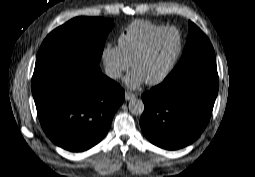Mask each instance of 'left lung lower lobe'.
Segmentation results:
<instances>
[{
	"label": "left lung lower lobe",
	"instance_id": "0a47b994",
	"mask_svg": "<svg viewBox=\"0 0 255 177\" xmlns=\"http://www.w3.org/2000/svg\"><path fill=\"white\" fill-rule=\"evenodd\" d=\"M217 92L216 65L196 67L164 80L142 95L143 133L163 149L176 150L189 145L205 129Z\"/></svg>",
	"mask_w": 255,
	"mask_h": 177
}]
</instances>
